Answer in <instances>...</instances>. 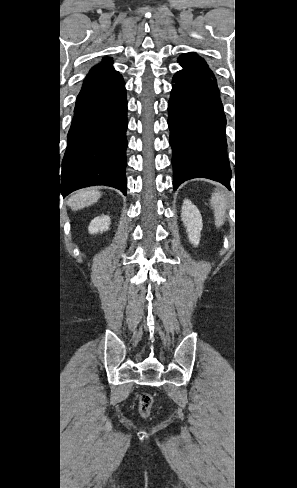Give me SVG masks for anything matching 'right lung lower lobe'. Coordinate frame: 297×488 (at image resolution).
<instances>
[{"mask_svg": "<svg viewBox=\"0 0 297 488\" xmlns=\"http://www.w3.org/2000/svg\"><path fill=\"white\" fill-rule=\"evenodd\" d=\"M127 101L121 75L76 101L63 158L61 194L107 185L126 195Z\"/></svg>", "mask_w": 297, "mask_h": 488, "instance_id": "obj_1", "label": "right lung lower lobe"}]
</instances>
